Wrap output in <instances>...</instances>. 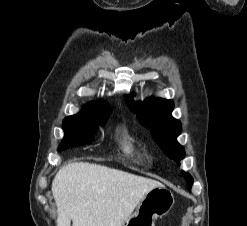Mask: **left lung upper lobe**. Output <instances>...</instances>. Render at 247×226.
<instances>
[{"label":"left lung upper lobe","instance_id":"5c2ea615","mask_svg":"<svg viewBox=\"0 0 247 226\" xmlns=\"http://www.w3.org/2000/svg\"><path fill=\"white\" fill-rule=\"evenodd\" d=\"M128 107L137 110L139 122L149 129L153 139L164 153L174 161L185 157L184 148L177 142L182 127L180 121L171 116L174 104L172 100L163 98H150L144 102H132L125 96ZM188 187L192 186L193 178L188 173H182Z\"/></svg>","mask_w":247,"mask_h":226}]
</instances>
